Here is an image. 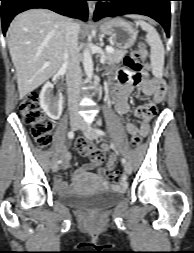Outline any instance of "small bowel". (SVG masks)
I'll return each instance as SVG.
<instances>
[{"mask_svg":"<svg viewBox=\"0 0 194 253\" xmlns=\"http://www.w3.org/2000/svg\"><path fill=\"white\" fill-rule=\"evenodd\" d=\"M141 72V74H135L126 68L115 72L109 85V93L114 103L115 112L119 115L127 114L130 111L129 98L134 92H137L143 97L150 98V101L146 105L139 106L135 109V115L139 118V126L134 122H128L126 124V129L131 136L138 134L140 137H145L149 132L150 121L154 113L149 112L141 114L139 111L150 106L156 109V104L161 102L164 98L165 84L162 81L149 77L147 69H142ZM109 148L110 146L106 143L102 145L103 151H108ZM62 158V168L65 169L69 165L71 156L65 151L62 153ZM117 159V155L111 153L108 156L106 167L99 170V174L102 177L106 176L116 166ZM89 169L90 166L83 165L80 172ZM54 183L59 191L65 192L68 190V184L61 176H57Z\"/></svg>","mask_w":194,"mask_h":253,"instance_id":"obj_1","label":"small bowel"}]
</instances>
